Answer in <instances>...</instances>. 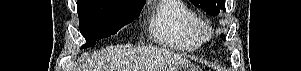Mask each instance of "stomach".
I'll return each instance as SVG.
<instances>
[{
    "label": "stomach",
    "mask_w": 301,
    "mask_h": 71,
    "mask_svg": "<svg viewBox=\"0 0 301 71\" xmlns=\"http://www.w3.org/2000/svg\"><path fill=\"white\" fill-rule=\"evenodd\" d=\"M175 71H198V70L192 64H185V65L178 67Z\"/></svg>",
    "instance_id": "0dacf381"
}]
</instances>
